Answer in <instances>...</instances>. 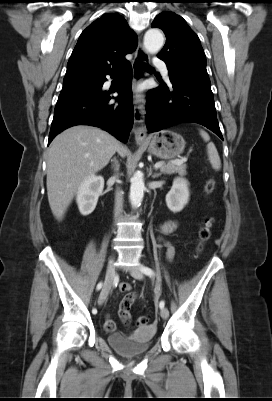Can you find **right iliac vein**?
<instances>
[{"instance_id": "1", "label": "right iliac vein", "mask_w": 272, "mask_h": 401, "mask_svg": "<svg viewBox=\"0 0 272 401\" xmlns=\"http://www.w3.org/2000/svg\"><path fill=\"white\" fill-rule=\"evenodd\" d=\"M114 259L111 258L108 262L107 269H106V275H105V282L104 286L102 288V291L100 293L99 297V304L103 303V301L107 298L109 291L111 289L113 279H114Z\"/></svg>"}]
</instances>
